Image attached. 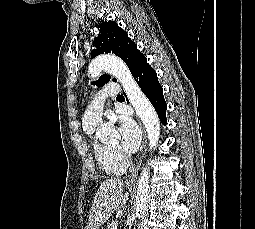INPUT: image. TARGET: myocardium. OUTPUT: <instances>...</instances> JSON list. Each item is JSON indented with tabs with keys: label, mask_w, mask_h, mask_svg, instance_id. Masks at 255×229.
<instances>
[{
	"label": "myocardium",
	"mask_w": 255,
	"mask_h": 229,
	"mask_svg": "<svg viewBox=\"0 0 255 229\" xmlns=\"http://www.w3.org/2000/svg\"><path fill=\"white\" fill-rule=\"evenodd\" d=\"M109 148H110L112 151H114L115 153H117L118 155L121 156V152H120L119 148H111L110 146H109Z\"/></svg>",
	"instance_id": "f54148a6"
}]
</instances>
